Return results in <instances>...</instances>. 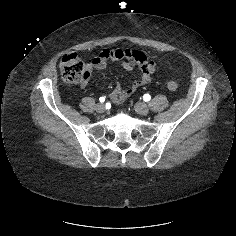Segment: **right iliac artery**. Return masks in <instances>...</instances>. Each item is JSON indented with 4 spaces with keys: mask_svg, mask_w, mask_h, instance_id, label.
<instances>
[{
    "mask_svg": "<svg viewBox=\"0 0 236 236\" xmlns=\"http://www.w3.org/2000/svg\"><path fill=\"white\" fill-rule=\"evenodd\" d=\"M99 101H100L101 103H103V102L105 101V97H100V98H99Z\"/></svg>",
    "mask_w": 236,
    "mask_h": 236,
    "instance_id": "1",
    "label": "right iliac artery"
}]
</instances>
